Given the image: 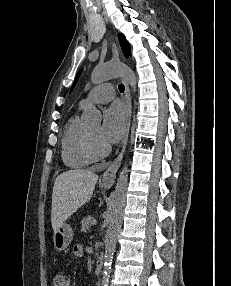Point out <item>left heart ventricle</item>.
<instances>
[{"label":"left heart ventricle","mask_w":231,"mask_h":286,"mask_svg":"<svg viewBox=\"0 0 231 286\" xmlns=\"http://www.w3.org/2000/svg\"><path fill=\"white\" fill-rule=\"evenodd\" d=\"M87 130L91 136V139L93 140L94 144L96 145V147H98V148L105 147V144L99 138L100 127L98 125L88 127Z\"/></svg>","instance_id":"b2bd125f"}]
</instances>
